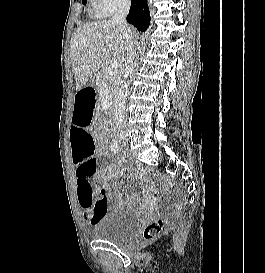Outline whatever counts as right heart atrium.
Segmentation results:
<instances>
[{
    "label": "right heart atrium",
    "mask_w": 265,
    "mask_h": 273,
    "mask_svg": "<svg viewBox=\"0 0 265 273\" xmlns=\"http://www.w3.org/2000/svg\"><path fill=\"white\" fill-rule=\"evenodd\" d=\"M95 13L100 16H109L112 13L128 8L131 0H90Z\"/></svg>",
    "instance_id": "right-heart-atrium-1"
}]
</instances>
